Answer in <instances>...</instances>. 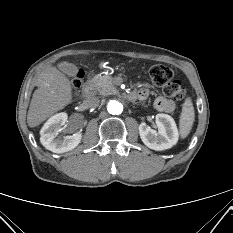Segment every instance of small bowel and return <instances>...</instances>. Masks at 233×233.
I'll return each instance as SVG.
<instances>
[{
	"label": "small bowel",
	"instance_id": "1",
	"mask_svg": "<svg viewBox=\"0 0 233 233\" xmlns=\"http://www.w3.org/2000/svg\"><path fill=\"white\" fill-rule=\"evenodd\" d=\"M149 91L146 88H142L138 92V97L142 100L148 97ZM154 106L158 111L170 113L175 109V103L164 96H158L154 100Z\"/></svg>",
	"mask_w": 233,
	"mask_h": 233
}]
</instances>
